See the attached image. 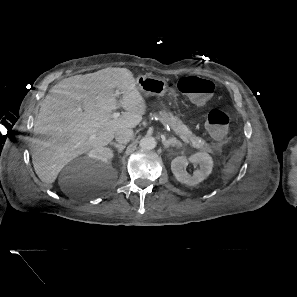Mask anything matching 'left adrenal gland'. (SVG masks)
<instances>
[{"label": "left adrenal gland", "instance_id": "1", "mask_svg": "<svg viewBox=\"0 0 297 297\" xmlns=\"http://www.w3.org/2000/svg\"><path fill=\"white\" fill-rule=\"evenodd\" d=\"M162 144L166 148H168L170 146H178V147H181L182 146L181 142L178 141V140H176L175 138H170L168 140H162Z\"/></svg>", "mask_w": 297, "mask_h": 297}]
</instances>
